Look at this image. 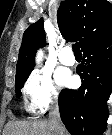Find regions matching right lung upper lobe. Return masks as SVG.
<instances>
[{"mask_svg":"<svg viewBox=\"0 0 112 135\" xmlns=\"http://www.w3.org/2000/svg\"><path fill=\"white\" fill-rule=\"evenodd\" d=\"M57 22L62 36L79 41L82 49L112 34V4L107 0H65L57 11ZM44 44L41 18L23 34L16 77L31 73L36 50Z\"/></svg>","mask_w":112,"mask_h":135,"instance_id":"1","label":"right lung upper lobe"}]
</instances>
